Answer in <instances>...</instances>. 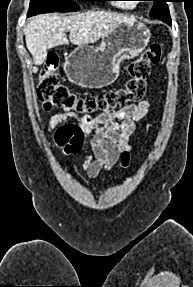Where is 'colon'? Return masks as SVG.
Segmentation results:
<instances>
[{
  "label": "colon",
  "instance_id": "obj_1",
  "mask_svg": "<svg viewBox=\"0 0 193 287\" xmlns=\"http://www.w3.org/2000/svg\"><path fill=\"white\" fill-rule=\"evenodd\" d=\"M161 46L152 44L137 59L127 66L129 79L123 87L109 89L98 94L80 95L59 78V59L55 53H49L39 75L37 95L46 109L52 107L77 113L85 124L89 120H98L116 108H124L142 99L146 89V80L152 65L159 63Z\"/></svg>",
  "mask_w": 193,
  "mask_h": 287
}]
</instances>
